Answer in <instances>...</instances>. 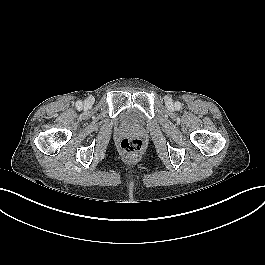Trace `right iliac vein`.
<instances>
[{"instance_id":"obj_1","label":"right iliac vein","mask_w":265,"mask_h":265,"mask_svg":"<svg viewBox=\"0 0 265 265\" xmlns=\"http://www.w3.org/2000/svg\"><path fill=\"white\" fill-rule=\"evenodd\" d=\"M84 105H85V107H89L91 105V101L90 100H86L84 102Z\"/></svg>"}]
</instances>
